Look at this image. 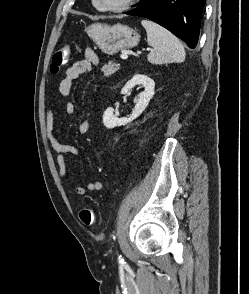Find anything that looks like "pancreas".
<instances>
[{
  "instance_id": "1",
  "label": "pancreas",
  "mask_w": 249,
  "mask_h": 294,
  "mask_svg": "<svg viewBox=\"0 0 249 294\" xmlns=\"http://www.w3.org/2000/svg\"><path fill=\"white\" fill-rule=\"evenodd\" d=\"M120 68V65L117 63H113L112 61H110L108 64H105L102 67V71L104 72V75L106 77L114 74L116 71H118Z\"/></svg>"
}]
</instances>
